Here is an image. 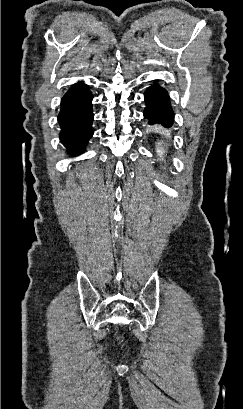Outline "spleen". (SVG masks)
<instances>
[{"mask_svg":"<svg viewBox=\"0 0 243 409\" xmlns=\"http://www.w3.org/2000/svg\"><path fill=\"white\" fill-rule=\"evenodd\" d=\"M157 153L162 156V155H163V150H162V149H158V150H157Z\"/></svg>","mask_w":243,"mask_h":409,"instance_id":"spleen-1","label":"spleen"}]
</instances>
